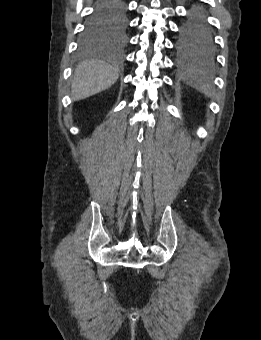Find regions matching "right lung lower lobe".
Segmentation results:
<instances>
[{
  "instance_id": "obj_1",
  "label": "right lung lower lobe",
  "mask_w": 261,
  "mask_h": 340,
  "mask_svg": "<svg viewBox=\"0 0 261 340\" xmlns=\"http://www.w3.org/2000/svg\"><path fill=\"white\" fill-rule=\"evenodd\" d=\"M126 11L125 0H96L94 13L116 15Z\"/></svg>"
}]
</instances>
